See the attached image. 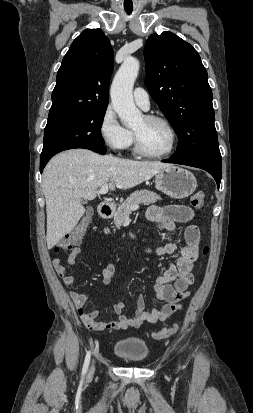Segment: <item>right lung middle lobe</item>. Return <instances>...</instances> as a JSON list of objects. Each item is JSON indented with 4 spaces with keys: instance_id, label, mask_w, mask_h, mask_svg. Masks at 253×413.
Wrapping results in <instances>:
<instances>
[{
    "instance_id": "dd1d6c3e",
    "label": "right lung middle lobe",
    "mask_w": 253,
    "mask_h": 413,
    "mask_svg": "<svg viewBox=\"0 0 253 413\" xmlns=\"http://www.w3.org/2000/svg\"><path fill=\"white\" fill-rule=\"evenodd\" d=\"M106 108L49 115L41 154L70 144L103 145L101 126Z\"/></svg>"
}]
</instances>
